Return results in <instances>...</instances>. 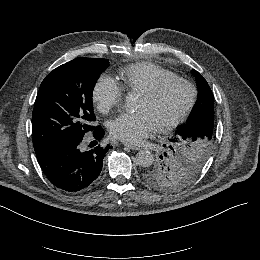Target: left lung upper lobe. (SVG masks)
I'll return each mask as SVG.
<instances>
[{
	"label": "left lung upper lobe",
	"mask_w": 260,
	"mask_h": 260,
	"mask_svg": "<svg viewBox=\"0 0 260 260\" xmlns=\"http://www.w3.org/2000/svg\"><path fill=\"white\" fill-rule=\"evenodd\" d=\"M198 86V100L189 119L178 127L175 135L163 145L164 153L145 167L142 177L146 183L163 191H175L191 183L200 173L211 155L215 134L190 133L191 116L199 103L213 107L212 91L201 74L193 71Z\"/></svg>",
	"instance_id": "obj_1"
}]
</instances>
